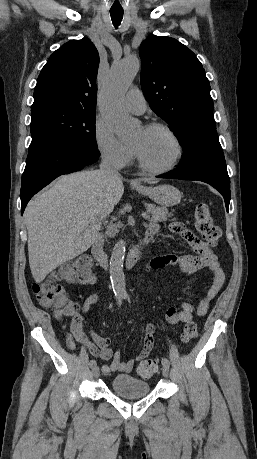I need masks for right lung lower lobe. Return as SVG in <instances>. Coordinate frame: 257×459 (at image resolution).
Segmentation results:
<instances>
[{
  "instance_id": "98d812e1",
  "label": "right lung lower lobe",
  "mask_w": 257,
  "mask_h": 459,
  "mask_svg": "<svg viewBox=\"0 0 257 459\" xmlns=\"http://www.w3.org/2000/svg\"><path fill=\"white\" fill-rule=\"evenodd\" d=\"M99 155L71 144L30 146L22 175L21 213L32 196L55 178L95 163Z\"/></svg>"
}]
</instances>
